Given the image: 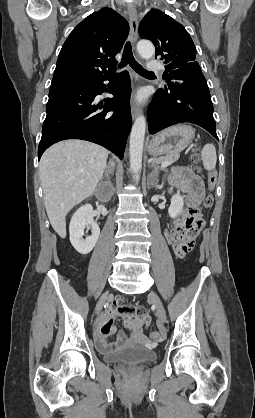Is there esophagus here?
<instances>
[{"label":"esophagus","mask_w":255,"mask_h":418,"mask_svg":"<svg viewBox=\"0 0 255 418\" xmlns=\"http://www.w3.org/2000/svg\"><path fill=\"white\" fill-rule=\"evenodd\" d=\"M129 15V23H130V39L133 45H135L137 41V34H138V17L136 9L133 6H130L128 9ZM140 109L136 105L131 106V114L132 118L139 114Z\"/></svg>","instance_id":"34e87169"}]
</instances>
